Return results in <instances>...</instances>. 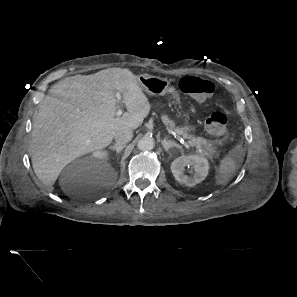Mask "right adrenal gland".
<instances>
[{
	"instance_id": "1",
	"label": "right adrenal gland",
	"mask_w": 297,
	"mask_h": 297,
	"mask_svg": "<svg viewBox=\"0 0 297 297\" xmlns=\"http://www.w3.org/2000/svg\"><path fill=\"white\" fill-rule=\"evenodd\" d=\"M124 147H125V146H118L117 144H114V145L110 146L109 149H111V150H115L116 153L118 154V153L121 152V150H122Z\"/></svg>"
}]
</instances>
